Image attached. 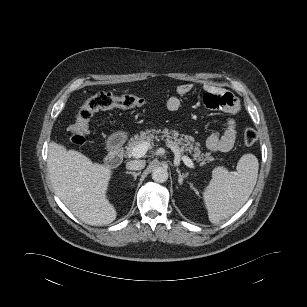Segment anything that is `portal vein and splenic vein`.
I'll list each match as a JSON object with an SVG mask.
<instances>
[{"label": "portal vein and splenic vein", "mask_w": 307, "mask_h": 307, "mask_svg": "<svg viewBox=\"0 0 307 307\" xmlns=\"http://www.w3.org/2000/svg\"><path fill=\"white\" fill-rule=\"evenodd\" d=\"M150 148V142H142L133 148L131 155L135 158L143 157L148 149ZM180 159L184 162V164L189 168H194L193 161L188 156H181L178 152L175 153V164H178Z\"/></svg>", "instance_id": "obj_1"}]
</instances>
